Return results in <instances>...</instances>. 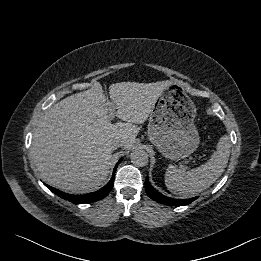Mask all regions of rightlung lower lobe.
I'll list each match as a JSON object with an SVG mask.
<instances>
[{
    "label": "right lung lower lobe",
    "instance_id": "98d812e1",
    "mask_svg": "<svg viewBox=\"0 0 261 261\" xmlns=\"http://www.w3.org/2000/svg\"><path fill=\"white\" fill-rule=\"evenodd\" d=\"M122 161V158L117 162L114 170H113V174H112V178L111 180L100 190H98L97 192L91 193V194H86V195H70L64 192H61L51 186H48L45 184V186L52 191L53 193L57 194L58 196H60L61 198L65 199V200H69L70 202H73L74 204H81V203H91V202H95L98 200L103 199L104 197H106L108 195V193L111 191L112 187H113V183H114V176H115V172L116 169L119 165V163Z\"/></svg>",
    "mask_w": 261,
    "mask_h": 261
}]
</instances>
